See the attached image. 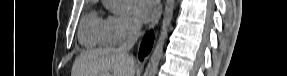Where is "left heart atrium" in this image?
<instances>
[{"label":"left heart atrium","instance_id":"obj_1","mask_svg":"<svg viewBox=\"0 0 287 76\" xmlns=\"http://www.w3.org/2000/svg\"><path fill=\"white\" fill-rule=\"evenodd\" d=\"M130 7L135 17L141 22L152 19L157 11L153 0H131Z\"/></svg>","mask_w":287,"mask_h":76}]
</instances>
